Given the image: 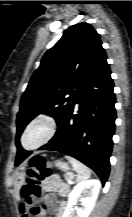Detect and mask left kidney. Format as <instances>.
I'll use <instances>...</instances> for the list:
<instances>
[{"instance_id":"5707ae66","label":"left kidney","mask_w":132,"mask_h":217,"mask_svg":"<svg viewBox=\"0 0 132 217\" xmlns=\"http://www.w3.org/2000/svg\"><path fill=\"white\" fill-rule=\"evenodd\" d=\"M101 183L91 179L78 183L69 194L68 203L62 217H88L97 200ZM78 200L81 207H76V212L71 209Z\"/></svg>"}]
</instances>
